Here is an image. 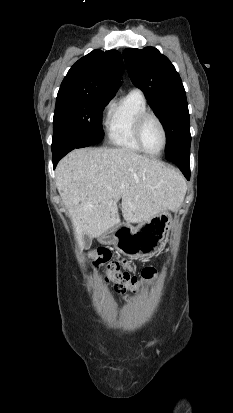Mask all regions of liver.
<instances>
[{"instance_id":"liver-1","label":"liver","mask_w":233,"mask_h":413,"mask_svg":"<svg viewBox=\"0 0 233 413\" xmlns=\"http://www.w3.org/2000/svg\"><path fill=\"white\" fill-rule=\"evenodd\" d=\"M56 185L80 245L119 224L118 202L127 223H142L175 210L185 194L182 176L162 162L128 148H82L56 168Z\"/></svg>"}]
</instances>
